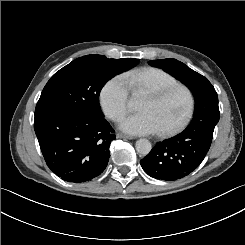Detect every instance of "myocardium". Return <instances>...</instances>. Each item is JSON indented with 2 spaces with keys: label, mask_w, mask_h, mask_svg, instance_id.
Instances as JSON below:
<instances>
[{
  "label": "myocardium",
  "mask_w": 245,
  "mask_h": 245,
  "mask_svg": "<svg viewBox=\"0 0 245 245\" xmlns=\"http://www.w3.org/2000/svg\"><path fill=\"white\" fill-rule=\"evenodd\" d=\"M177 91L184 92L187 101L186 109L178 121H176L171 126L160 130V134L164 136L175 133L180 128H182L191 118L194 109V97L192 91L184 84H175L168 87H161L157 85L149 86L142 92V96H153L157 102H162Z\"/></svg>",
  "instance_id": "obj_1"
}]
</instances>
